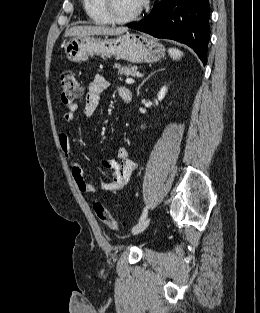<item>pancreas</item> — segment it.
<instances>
[{
  "mask_svg": "<svg viewBox=\"0 0 260 313\" xmlns=\"http://www.w3.org/2000/svg\"><path fill=\"white\" fill-rule=\"evenodd\" d=\"M114 67L117 69V73L118 75L121 77L122 75H131V76H135L136 72H137V67L135 66H121L119 64H115Z\"/></svg>",
  "mask_w": 260,
  "mask_h": 313,
  "instance_id": "cf45deb5",
  "label": "pancreas"
}]
</instances>
